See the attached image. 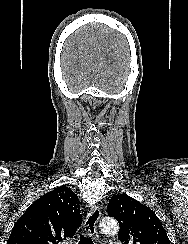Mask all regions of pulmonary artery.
<instances>
[{"label": "pulmonary artery", "mask_w": 188, "mask_h": 244, "mask_svg": "<svg viewBox=\"0 0 188 244\" xmlns=\"http://www.w3.org/2000/svg\"><path fill=\"white\" fill-rule=\"evenodd\" d=\"M109 244H121L120 242H111Z\"/></svg>", "instance_id": "pulmonary-artery-1"}]
</instances>
